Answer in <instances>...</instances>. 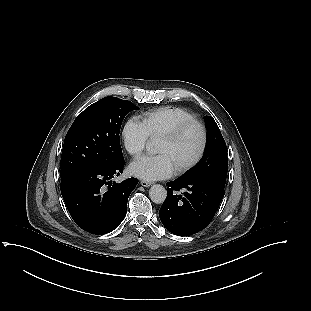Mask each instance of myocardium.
Wrapping results in <instances>:
<instances>
[{"label": "myocardium", "mask_w": 311, "mask_h": 311, "mask_svg": "<svg viewBox=\"0 0 311 311\" xmlns=\"http://www.w3.org/2000/svg\"><path fill=\"white\" fill-rule=\"evenodd\" d=\"M191 128H197L199 131L200 140H199L198 149H197L195 155L191 159H189L188 161L182 163L177 168H175V172L178 174L189 170L190 168L195 166L201 160V158L205 152L206 143H207V133H206L205 126L202 124V122H200L196 119H192V120H188V121H184V122L179 123L174 128H172L170 131L164 133L163 135H161L159 137L160 140H165L168 142H175L187 130H189Z\"/></svg>", "instance_id": "obj_1"}]
</instances>
